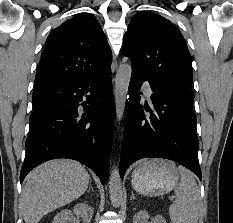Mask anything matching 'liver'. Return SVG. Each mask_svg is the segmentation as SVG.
I'll use <instances>...</instances> for the list:
<instances>
[{
	"label": "liver",
	"mask_w": 233,
	"mask_h": 223,
	"mask_svg": "<svg viewBox=\"0 0 233 223\" xmlns=\"http://www.w3.org/2000/svg\"><path fill=\"white\" fill-rule=\"evenodd\" d=\"M90 175L73 159H51L27 175L20 199L25 223H38L43 215L74 201L86 191Z\"/></svg>",
	"instance_id": "liver-1"
}]
</instances>
